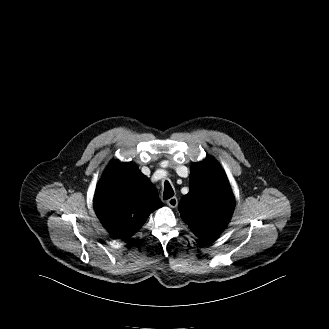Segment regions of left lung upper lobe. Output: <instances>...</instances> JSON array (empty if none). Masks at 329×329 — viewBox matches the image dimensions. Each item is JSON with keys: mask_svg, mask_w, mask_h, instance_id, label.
<instances>
[{"mask_svg": "<svg viewBox=\"0 0 329 329\" xmlns=\"http://www.w3.org/2000/svg\"><path fill=\"white\" fill-rule=\"evenodd\" d=\"M190 191L179 205L183 221L205 242H212L225 229L234 209V196L226 174L212 157L193 163Z\"/></svg>", "mask_w": 329, "mask_h": 329, "instance_id": "obj_1", "label": "left lung upper lobe"}]
</instances>
